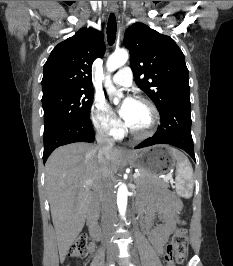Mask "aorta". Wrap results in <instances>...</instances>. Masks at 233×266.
Listing matches in <instances>:
<instances>
[{
  "label": "aorta",
  "instance_id": "1",
  "mask_svg": "<svg viewBox=\"0 0 233 266\" xmlns=\"http://www.w3.org/2000/svg\"><path fill=\"white\" fill-rule=\"evenodd\" d=\"M129 58V54L126 50L120 49L111 54L106 62V68L108 73L114 72L119 67L123 66ZM104 86L106 91L109 94L115 95L117 97L114 98V103L117 104L119 102L122 94L118 92L112 84L110 75H108L105 79ZM127 198H128V189L125 184H121L117 191V206L119 209L120 215L125 219V213L127 208Z\"/></svg>",
  "mask_w": 233,
  "mask_h": 266
}]
</instances>
